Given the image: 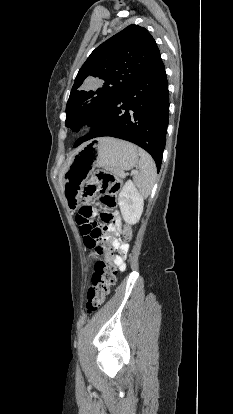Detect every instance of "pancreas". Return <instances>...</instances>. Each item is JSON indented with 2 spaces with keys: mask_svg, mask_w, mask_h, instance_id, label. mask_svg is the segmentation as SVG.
<instances>
[{
  "mask_svg": "<svg viewBox=\"0 0 233 414\" xmlns=\"http://www.w3.org/2000/svg\"><path fill=\"white\" fill-rule=\"evenodd\" d=\"M116 174H117L118 176L122 177L123 172H122V171H119V172H117Z\"/></svg>",
  "mask_w": 233,
  "mask_h": 414,
  "instance_id": "pancreas-1",
  "label": "pancreas"
}]
</instances>
